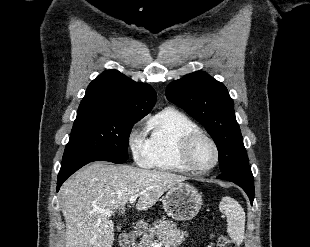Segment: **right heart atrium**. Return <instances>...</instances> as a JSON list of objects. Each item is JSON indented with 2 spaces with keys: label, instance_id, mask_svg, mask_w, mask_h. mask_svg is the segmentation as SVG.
Wrapping results in <instances>:
<instances>
[{
  "label": "right heart atrium",
  "instance_id": "right-heart-atrium-1",
  "mask_svg": "<svg viewBox=\"0 0 310 247\" xmlns=\"http://www.w3.org/2000/svg\"><path fill=\"white\" fill-rule=\"evenodd\" d=\"M128 145L136 162L142 166L149 167L151 160L148 154L146 142L141 138L134 128L128 135Z\"/></svg>",
  "mask_w": 310,
  "mask_h": 247
}]
</instances>
